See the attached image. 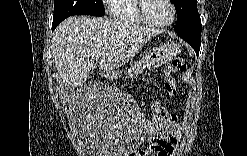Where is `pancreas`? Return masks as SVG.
<instances>
[{
  "label": "pancreas",
  "instance_id": "cf45deb5",
  "mask_svg": "<svg viewBox=\"0 0 247 156\" xmlns=\"http://www.w3.org/2000/svg\"><path fill=\"white\" fill-rule=\"evenodd\" d=\"M139 72H141V68H139V69L135 72V74H138Z\"/></svg>",
  "mask_w": 247,
  "mask_h": 156
}]
</instances>
